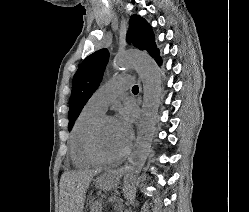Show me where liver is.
I'll use <instances>...</instances> for the list:
<instances>
[{"instance_id": "liver-1", "label": "liver", "mask_w": 249, "mask_h": 212, "mask_svg": "<svg viewBox=\"0 0 249 212\" xmlns=\"http://www.w3.org/2000/svg\"><path fill=\"white\" fill-rule=\"evenodd\" d=\"M102 172L99 170H72L67 172V212H83L85 206L86 192L97 174ZM122 170H106L105 174H101L96 180L97 188L100 190H112L117 188L120 178H122Z\"/></svg>"}]
</instances>
